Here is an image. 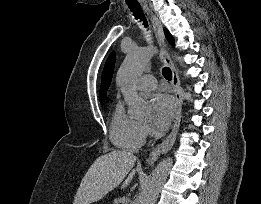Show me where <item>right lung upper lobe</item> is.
I'll return each instance as SVG.
<instances>
[{
    "mask_svg": "<svg viewBox=\"0 0 261 204\" xmlns=\"http://www.w3.org/2000/svg\"><path fill=\"white\" fill-rule=\"evenodd\" d=\"M115 66V53L112 52L109 58L106 61L103 74H102V83H101V90L99 93L100 101L103 102L106 97V92L110 86L113 70Z\"/></svg>",
    "mask_w": 261,
    "mask_h": 204,
    "instance_id": "right-lung-upper-lobe-1",
    "label": "right lung upper lobe"
}]
</instances>
